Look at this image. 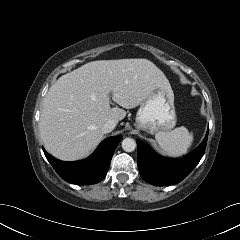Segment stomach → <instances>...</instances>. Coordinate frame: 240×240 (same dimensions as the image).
Listing matches in <instances>:
<instances>
[{"mask_svg": "<svg viewBox=\"0 0 240 240\" xmlns=\"http://www.w3.org/2000/svg\"><path fill=\"white\" fill-rule=\"evenodd\" d=\"M177 117L172 90L159 87L151 91L141 103L135 126L137 129L155 134L173 129Z\"/></svg>", "mask_w": 240, "mask_h": 240, "instance_id": "stomach-1", "label": "stomach"}]
</instances>
